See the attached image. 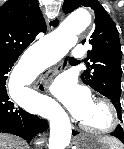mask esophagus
I'll use <instances>...</instances> for the list:
<instances>
[{"mask_svg": "<svg viewBox=\"0 0 124 149\" xmlns=\"http://www.w3.org/2000/svg\"><path fill=\"white\" fill-rule=\"evenodd\" d=\"M35 87L39 90V91H43L44 90V86L42 85L41 81L36 82Z\"/></svg>", "mask_w": 124, "mask_h": 149, "instance_id": "esophagus-1", "label": "esophagus"}]
</instances>
